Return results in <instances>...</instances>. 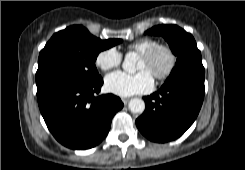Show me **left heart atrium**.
<instances>
[{"instance_id":"left-heart-atrium-1","label":"left heart atrium","mask_w":245,"mask_h":170,"mask_svg":"<svg viewBox=\"0 0 245 170\" xmlns=\"http://www.w3.org/2000/svg\"><path fill=\"white\" fill-rule=\"evenodd\" d=\"M153 86V76L147 70H140L136 73L117 71L105 77L106 89L122 97L149 92Z\"/></svg>"}]
</instances>
